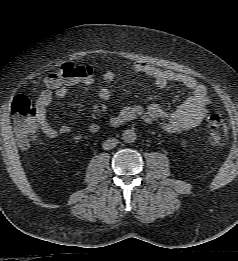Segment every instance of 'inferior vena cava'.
I'll return each instance as SVG.
<instances>
[{"label":"inferior vena cava","mask_w":238,"mask_h":261,"mask_svg":"<svg viewBox=\"0 0 238 261\" xmlns=\"http://www.w3.org/2000/svg\"><path fill=\"white\" fill-rule=\"evenodd\" d=\"M118 144V140L115 138H109L105 140L102 144L104 150L113 149Z\"/></svg>","instance_id":"602c4592"}]
</instances>
